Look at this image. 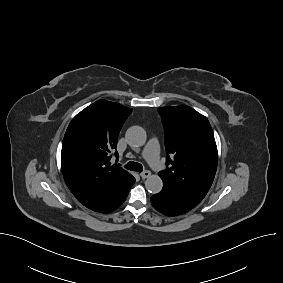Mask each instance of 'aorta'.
<instances>
[{"instance_id":"762f6f07","label":"aorta","mask_w":283,"mask_h":283,"mask_svg":"<svg viewBox=\"0 0 283 283\" xmlns=\"http://www.w3.org/2000/svg\"><path fill=\"white\" fill-rule=\"evenodd\" d=\"M126 140L130 146H143L146 142V132L140 126H132L126 131ZM146 189L153 194L162 190L163 182L158 175H151L145 181Z\"/></svg>"}]
</instances>
